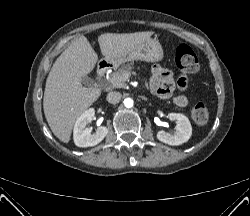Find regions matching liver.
Segmentation results:
<instances>
[{"instance_id":"1","label":"liver","mask_w":250,"mask_h":216,"mask_svg":"<svg viewBox=\"0 0 250 216\" xmlns=\"http://www.w3.org/2000/svg\"><path fill=\"white\" fill-rule=\"evenodd\" d=\"M153 32L128 34L104 33L98 43L105 61L115 58L145 40ZM98 61L88 39L81 36L57 58L46 80L43 108L46 120L54 135L68 143L76 119L100 96L101 89L84 87L85 78Z\"/></svg>"}]
</instances>
